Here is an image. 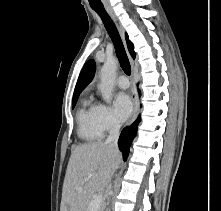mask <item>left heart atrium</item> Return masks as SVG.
<instances>
[{"mask_svg":"<svg viewBox=\"0 0 221 211\" xmlns=\"http://www.w3.org/2000/svg\"><path fill=\"white\" fill-rule=\"evenodd\" d=\"M113 106L115 113L120 120L127 119L133 110L131 99L126 93L116 94Z\"/></svg>","mask_w":221,"mask_h":211,"instance_id":"1","label":"left heart atrium"}]
</instances>
